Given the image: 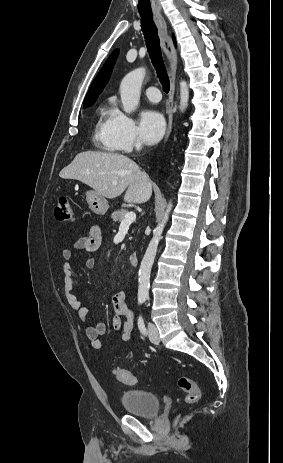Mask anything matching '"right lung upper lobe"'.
Masks as SVG:
<instances>
[{
    "mask_svg": "<svg viewBox=\"0 0 283 463\" xmlns=\"http://www.w3.org/2000/svg\"><path fill=\"white\" fill-rule=\"evenodd\" d=\"M118 53V49L112 52V54L109 56V58L103 65L96 78L93 80L91 87L85 97L84 105H92L104 89L105 85L107 84L110 78L113 66L118 57Z\"/></svg>",
    "mask_w": 283,
    "mask_h": 463,
    "instance_id": "right-lung-upper-lobe-1",
    "label": "right lung upper lobe"
}]
</instances>
